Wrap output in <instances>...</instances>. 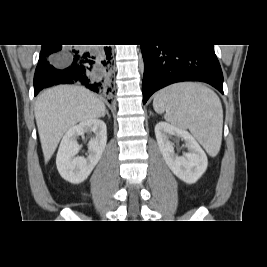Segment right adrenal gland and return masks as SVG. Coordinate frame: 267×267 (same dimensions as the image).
I'll return each instance as SVG.
<instances>
[{
    "instance_id": "obj_1",
    "label": "right adrenal gland",
    "mask_w": 267,
    "mask_h": 267,
    "mask_svg": "<svg viewBox=\"0 0 267 267\" xmlns=\"http://www.w3.org/2000/svg\"><path fill=\"white\" fill-rule=\"evenodd\" d=\"M106 114H107L108 118L110 119V115H109L108 110H106Z\"/></svg>"
}]
</instances>
